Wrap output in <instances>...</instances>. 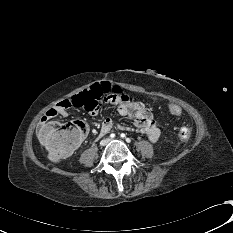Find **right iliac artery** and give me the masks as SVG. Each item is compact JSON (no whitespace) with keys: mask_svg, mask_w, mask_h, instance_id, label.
I'll return each mask as SVG.
<instances>
[{"mask_svg":"<svg viewBox=\"0 0 233 233\" xmlns=\"http://www.w3.org/2000/svg\"><path fill=\"white\" fill-rule=\"evenodd\" d=\"M110 137H111V138H114V137H115V134H114V133L110 134Z\"/></svg>","mask_w":233,"mask_h":233,"instance_id":"obj_1","label":"right iliac artery"}]
</instances>
